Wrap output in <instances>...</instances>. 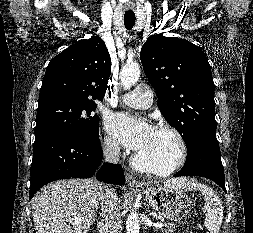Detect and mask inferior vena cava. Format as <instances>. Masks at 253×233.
Segmentation results:
<instances>
[{"mask_svg":"<svg viewBox=\"0 0 253 233\" xmlns=\"http://www.w3.org/2000/svg\"><path fill=\"white\" fill-rule=\"evenodd\" d=\"M120 157V147L115 141L104 146V159L117 163ZM103 221L99 226L100 233H122V219L117 194L110 186H103L100 193Z\"/></svg>","mask_w":253,"mask_h":233,"instance_id":"1","label":"inferior vena cava"}]
</instances>
